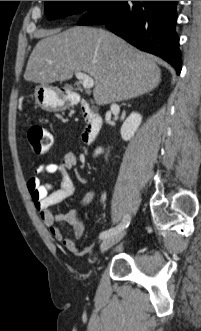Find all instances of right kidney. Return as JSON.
<instances>
[{"mask_svg":"<svg viewBox=\"0 0 201 331\" xmlns=\"http://www.w3.org/2000/svg\"><path fill=\"white\" fill-rule=\"evenodd\" d=\"M141 121H142V117L140 114L135 112L131 113L121 127L122 139L125 141L130 140L134 136L138 127L140 126ZM102 152H103L102 148H98L95 151V155L101 154Z\"/></svg>","mask_w":201,"mask_h":331,"instance_id":"1","label":"right kidney"}]
</instances>
